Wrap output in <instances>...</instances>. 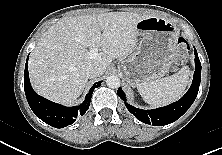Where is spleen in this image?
I'll list each match as a JSON object with an SVG mask.
<instances>
[{"label":"spleen","mask_w":222,"mask_h":155,"mask_svg":"<svg viewBox=\"0 0 222 155\" xmlns=\"http://www.w3.org/2000/svg\"><path fill=\"white\" fill-rule=\"evenodd\" d=\"M189 82V69L182 67L176 74L137 85L143 100L153 107L170 104L180 99Z\"/></svg>","instance_id":"3e777b00"}]
</instances>
